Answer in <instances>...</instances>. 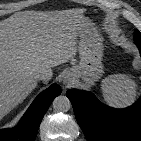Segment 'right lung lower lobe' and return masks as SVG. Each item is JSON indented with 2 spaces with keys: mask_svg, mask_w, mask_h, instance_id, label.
I'll list each match as a JSON object with an SVG mask.
<instances>
[{
  "mask_svg": "<svg viewBox=\"0 0 141 141\" xmlns=\"http://www.w3.org/2000/svg\"><path fill=\"white\" fill-rule=\"evenodd\" d=\"M60 93L61 88L57 84L40 93L15 128L0 130V141H34L44 114Z\"/></svg>",
  "mask_w": 141,
  "mask_h": 141,
  "instance_id": "98d812e1",
  "label": "right lung lower lobe"
}]
</instances>
